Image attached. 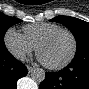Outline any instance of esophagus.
<instances>
[{"label":"esophagus","instance_id":"obj_1","mask_svg":"<svg viewBox=\"0 0 89 89\" xmlns=\"http://www.w3.org/2000/svg\"><path fill=\"white\" fill-rule=\"evenodd\" d=\"M27 70H28L29 73H31L34 70V67L27 66Z\"/></svg>","mask_w":89,"mask_h":89}]
</instances>
